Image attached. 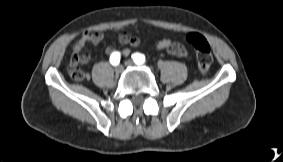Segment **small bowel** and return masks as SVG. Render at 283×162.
<instances>
[{
  "label": "small bowel",
  "instance_id": "c3829d8e",
  "mask_svg": "<svg viewBox=\"0 0 283 162\" xmlns=\"http://www.w3.org/2000/svg\"><path fill=\"white\" fill-rule=\"evenodd\" d=\"M104 39V34L100 31L96 32H85L82 34V36L76 40L72 47V55H71V60L68 65V72L70 74L71 70L79 69V65H85L90 61V55L87 53H82L85 45L87 43H92L94 45L99 44L102 40ZM118 41L121 44L124 45H129L131 47H136L139 45L140 40L132 36L128 32H122L118 36ZM154 49L157 51H166L167 53L171 55H175L178 57H183V58H190V55L188 51L185 49V47L177 42H172L168 38H164L154 44ZM114 51L112 47H108L106 49V52L108 54H111ZM125 55L130 54V49L126 48L124 50Z\"/></svg>",
  "mask_w": 283,
  "mask_h": 162
}]
</instances>
